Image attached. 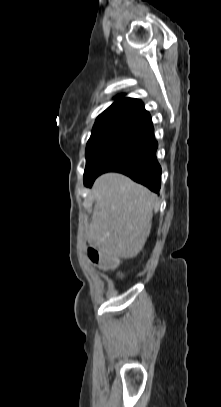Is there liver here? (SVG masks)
<instances>
[{"instance_id":"liver-1","label":"liver","mask_w":221,"mask_h":407,"mask_svg":"<svg viewBox=\"0 0 221 407\" xmlns=\"http://www.w3.org/2000/svg\"><path fill=\"white\" fill-rule=\"evenodd\" d=\"M92 194L95 204L86 231L88 243L112 259L137 256L150 235L157 196L119 173L98 177Z\"/></svg>"}]
</instances>
